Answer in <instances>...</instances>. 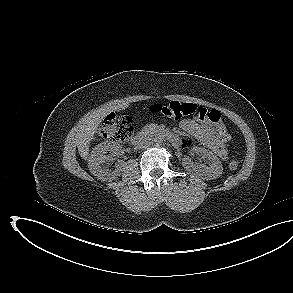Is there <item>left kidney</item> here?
Returning <instances> with one entry per match:
<instances>
[{"instance_id":"1","label":"left kidney","mask_w":293,"mask_h":293,"mask_svg":"<svg viewBox=\"0 0 293 293\" xmlns=\"http://www.w3.org/2000/svg\"><path fill=\"white\" fill-rule=\"evenodd\" d=\"M195 153H200L203 157L207 158L209 166L204 164L196 165L193 163L189 156L183 158L182 165L189 171L197 173V175L206 180L215 179L221 176L223 172V167L219 158L205 148L195 147L193 148Z\"/></svg>"}]
</instances>
